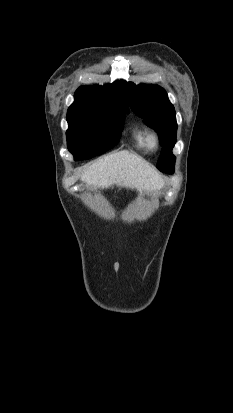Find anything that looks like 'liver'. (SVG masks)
<instances>
[{
	"label": "liver",
	"instance_id": "liver-1",
	"mask_svg": "<svg viewBox=\"0 0 233 413\" xmlns=\"http://www.w3.org/2000/svg\"><path fill=\"white\" fill-rule=\"evenodd\" d=\"M81 180L89 187L109 188L114 185L136 189L140 194L158 192L164 180L146 160L127 150L115 152L88 166Z\"/></svg>",
	"mask_w": 233,
	"mask_h": 413
}]
</instances>
